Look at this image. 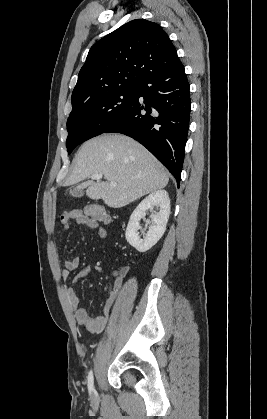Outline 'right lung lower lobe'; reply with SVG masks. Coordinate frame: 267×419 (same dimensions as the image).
<instances>
[{"label": "right lung lower lobe", "instance_id": "right-lung-lower-lobe-1", "mask_svg": "<svg viewBox=\"0 0 267 419\" xmlns=\"http://www.w3.org/2000/svg\"><path fill=\"white\" fill-rule=\"evenodd\" d=\"M190 86L179 61L149 75L127 113L104 133H122L145 146L180 182L190 121Z\"/></svg>", "mask_w": 267, "mask_h": 419}]
</instances>
